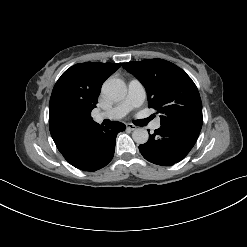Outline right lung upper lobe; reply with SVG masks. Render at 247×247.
<instances>
[{
  "mask_svg": "<svg viewBox=\"0 0 247 247\" xmlns=\"http://www.w3.org/2000/svg\"><path fill=\"white\" fill-rule=\"evenodd\" d=\"M120 66L121 63H79L58 79L49 102V129L59 151L95 123L91 111L102 84Z\"/></svg>",
  "mask_w": 247,
  "mask_h": 247,
  "instance_id": "right-lung-upper-lobe-1",
  "label": "right lung upper lobe"
}]
</instances>
